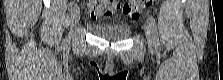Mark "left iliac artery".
Segmentation results:
<instances>
[{
	"mask_svg": "<svg viewBox=\"0 0 223 80\" xmlns=\"http://www.w3.org/2000/svg\"><path fill=\"white\" fill-rule=\"evenodd\" d=\"M149 23L153 29L154 36H155V47L157 50H160V43H159V38H158V33H157V25L154 17L152 15H149L148 17Z\"/></svg>",
	"mask_w": 223,
	"mask_h": 80,
	"instance_id": "44dca946",
	"label": "left iliac artery"
}]
</instances>
